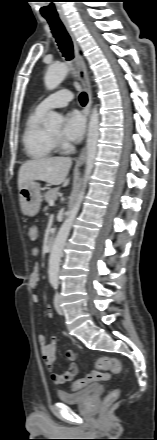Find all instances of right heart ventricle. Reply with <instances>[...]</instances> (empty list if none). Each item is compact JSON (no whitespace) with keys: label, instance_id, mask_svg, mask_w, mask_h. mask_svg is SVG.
<instances>
[{"label":"right heart ventricle","instance_id":"e07e8e85","mask_svg":"<svg viewBox=\"0 0 157 440\" xmlns=\"http://www.w3.org/2000/svg\"><path fill=\"white\" fill-rule=\"evenodd\" d=\"M45 113L35 108L25 122L22 140L27 155L32 158L46 157L55 151V142L42 123Z\"/></svg>","mask_w":157,"mask_h":440}]
</instances>
